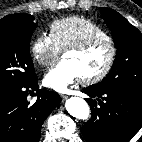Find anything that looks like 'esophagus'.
<instances>
[{"mask_svg":"<svg viewBox=\"0 0 142 142\" xmlns=\"http://www.w3.org/2000/svg\"><path fill=\"white\" fill-rule=\"evenodd\" d=\"M61 98H62V100L64 101V100H66V99L68 98V95L62 94V95H61Z\"/></svg>","mask_w":142,"mask_h":142,"instance_id":"1","label":"esophagus"}]
</instances>
